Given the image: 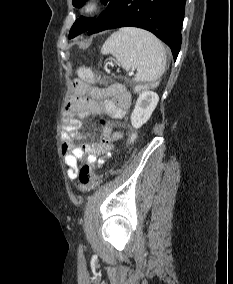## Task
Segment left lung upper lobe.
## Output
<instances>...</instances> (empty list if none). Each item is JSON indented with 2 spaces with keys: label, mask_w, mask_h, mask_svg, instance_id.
I'll use <instances>...</instances> for the list:
<instances>
[{
  "label": "left lung upper lobe",
  "mask_w": 233,
  "mask_h": 284,
  "mask_svg": "<svg viewBox=\"0 0 233 284\" xmlns=\"http://www.w3.org/2000/svg\"><path fill=\"white\" fill-rule=\"evenodd\" d=\"M85 1L86 0H73V6L81 7ZM109 1L110 0H102L104 4L108 3ZM95 20V18L88 19L85 17H80L75 21V23L71 27L68 38L71 39L81 33L87 32L94 24Z\"/></svg>",
  "instance_id": "obj_1"
}]
</instances>
